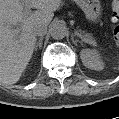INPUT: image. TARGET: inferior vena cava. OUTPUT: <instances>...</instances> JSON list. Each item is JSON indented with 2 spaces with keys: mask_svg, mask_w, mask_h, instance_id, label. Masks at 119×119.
Returning <instances> with one entry per match:
<instances>
[{
  "mask_svg": "<svg viewBox=\"0 0 119 119\" xmlns=\"http://www.w3.org/2000/svg\"><path fill=\"white\" fill-rule=\"evenodd\" d=\"M34 32L37 36H42L47 32V25L40 24L34 28Z\"/></svg>",
  "mask_w": 119,
  "mask_h": 119,
  "instance_id": "1",
  "label": "inferior vena cava"
}]
</instances>
